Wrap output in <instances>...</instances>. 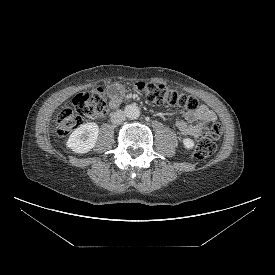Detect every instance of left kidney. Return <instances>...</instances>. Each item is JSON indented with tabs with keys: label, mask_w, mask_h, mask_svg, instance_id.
Segmentation results:
<instances>
[{
	"label": "left kidney",
	"mask_w": 275,
	"mask_h": 275,
	"mask_svg": "<svg viewBox=\"0 0 275 275\" xmlns=\"http://www.w3.org/2000/svg\"><path fill=\"white\" fill-rule=\"evenodd\" d=\"M183 144H184V146H185L186 149H192L193 146H194V142L190 138H185L183 140Z\"/></svg>",
	"instance_id": "obj_1"
}]
</instances>
